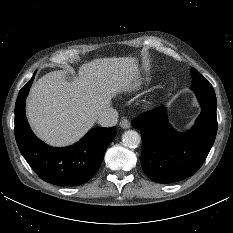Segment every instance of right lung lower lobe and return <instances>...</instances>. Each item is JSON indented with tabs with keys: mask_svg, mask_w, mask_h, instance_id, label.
<instances>
[{
	"mask_svg": "<svg viewBox=\"0 0 233 233\" xmlns=\"http://www.w3.org/2000/svg\"><path fill=\"white\" fill-rule=\"evenodd\" d=\"M33 77L20 90L15 104V138L19 150L35 173L44 181L60 185H80L100 167L104 153L116 136L115 127L93 128L79 142L52 148L32 132L25 115V100Z\"/></svg>",
	"mask_w": 233,
	"mask_h": 233,
	"instance_id": "98d812e1",
	"label": "right lung lower lobe"
}]
</instances>
